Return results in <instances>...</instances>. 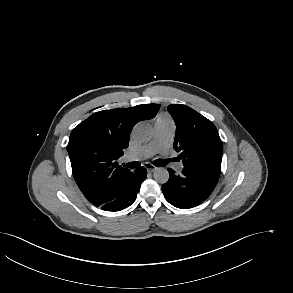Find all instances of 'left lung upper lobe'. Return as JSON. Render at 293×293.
I'll list each match as a JSON object with an SVG mask.
<instances>
[{"mask_svg":"<svg viewBox=\"0 0 293 293\" xmlns=\"http://www.w3.org/2000/svg\"><path fill=\"white\" fill-rule=\"evenodd\" d=\"M168 111L176 124L174 149L181 152L184 168L220 176L222 142L214 124L182 104H171Z\"/></svg>","mask_w":293,"mask_h":293,"instance_id":"1","label":"left lung upper lobe"}]
</instances>
